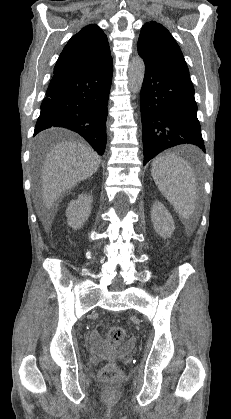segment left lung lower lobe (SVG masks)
I'll use <instances>...</instances> for the list:
<instances>
[{"mask_svg": "<svg viewBox=\"0 0 231 419\" xmlns=\"http://www.w3.org/2000/svg\"><path fill=\"white\" fill-rule=\"evenodd\" d=\"M140 106L144 165L161 151L180 144L196 145L205 152L188 73L145 65Z\"/></svg>", "mask_w": 231, "mask_h": 419, "instance_id": "0a47b994", "label": "left lung lower lobe"}]
</instances>
